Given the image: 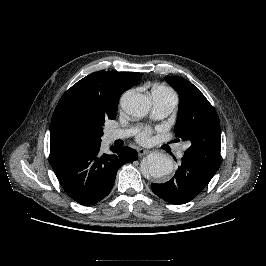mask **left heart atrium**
Returning a JSON list of instances; mask_svg holds the SVG:
<instances>
[{"mask_svg": "<svg viewBox=\"0 0 266 266\" xmlns=\"http://www.w3.org/2000/svg\"><path fill=\"white\" fill-rule=\"evenodd\" d=\"M150 137V131L149 130H144L140 133L139 135V140L142 142H146L149 140Z\"/></svg>", "mask_w": 266, "mask_h": 266, "instance_id": "left-heart-atrium-1", "label": "left heart atrium"}]
</instances>
